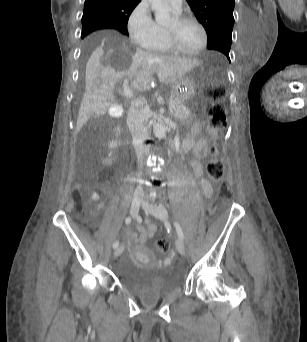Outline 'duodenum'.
Masks as SVG:
<instances>
[{"mask_svg":"<svg viewBox=\"0 0 307 342\" xmlns=\"http://www.w3.org/2000/svg\"><path fill=\"white\" fill-rule=\"evenodd\" d=\"M115 135L118 139H122V134H121V129L120 128H116L115 129Z\"/></svg>","mask_w":307,"mask_h":342,"instance_id":"410a0bca","label":"duodenum"}]
</instances>
